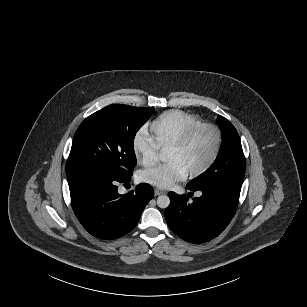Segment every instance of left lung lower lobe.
<instances>
[{
	"label": "left lung lower lobe",
	"mask_w": 307,
	"mask_h": 307,
	"mask_svg": "<svg viewBox=\"0 0 307 307\" xmlns=\"http://www.w3.org/2000/svg\"><path fill=\"white\" fill-rule=\"evenodd\" d=\"M199 190L202 196L193 198V202H187L186 195L169 192L170 205L165 210L169 228L195 244L215 238L226 228L236 212L240 195L223 187Z\"/></svg>",
	"instance_id": "0a47b994"
}]
</instances>
